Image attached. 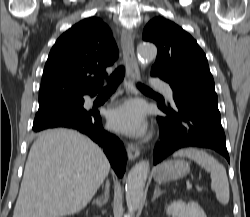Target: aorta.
<instances>
[{
    "mask_svg": "<svg viewBox=\"0 0 250 217\" xmlns=\"http://www.w3.org/2000/svg\"><path fill=\"white\" fill-rule=\"evenodd\" d=\"M157 56V48L150 43H142L137 47V57L142 68H145ZM150 163L142 160L130 170L126 180V203L131 211H135L143 197L145 183L149 174Z\"/></svg>",
    "mask_w": 250,
    "mask_h": 217,
    "instance_id": "762f6f07",
    "label": "aorta"
}]
</instances>
